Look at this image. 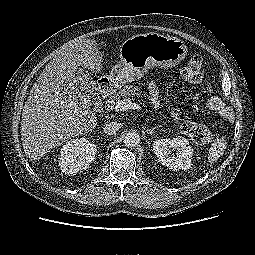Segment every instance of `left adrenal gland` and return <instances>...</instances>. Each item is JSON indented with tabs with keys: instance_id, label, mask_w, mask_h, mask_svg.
<instances>
[{
	"instance_id": "left-adrenal-gland-1",
	"label": "left adrenal gland",
	"mask_w": 255,
	"mask_h": 255,
	"mask_svg": "<svg viewBox=\"0 0 255 255\" xmlns=\"http://www.w3.org/2000/svg\"><path fill=\"white\" fill-rule=\"evenodd\" d=\"M158 127H159V126L154 127V128H152V129H147L146 132H147L148 134H152L153 131H154L156 128H158Z\"/></svg>"
}]
</instances>
